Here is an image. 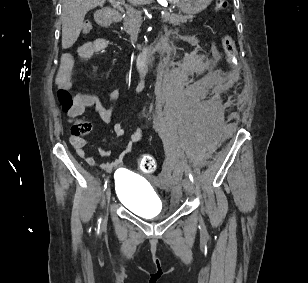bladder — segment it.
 I'll use <instances>...</instances> for the list:
<instances>
[{
	"label": "bladder",
	"instance_id": "obj_1",
	"mask_svg": "<svg viewBox=\"0 0 308 283\" xmlns=\"http://www.w3.org/2000/svg\"><path fill=\"white\" fill-rule=\"evenodd\" d=\"M114 191L117 200L138 216L155 218L165 213L160 196L148 180L126 169L115 173Z\"/></svg>",
	"mask_w": 308,
	"mask_h": 283
}]
</instances>
